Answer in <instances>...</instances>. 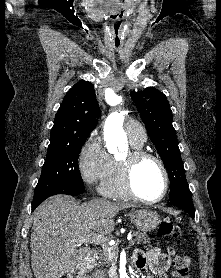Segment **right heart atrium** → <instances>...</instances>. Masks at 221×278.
<instances>
[{
	"label": "right heart atrium",
	"mask_w": 221,
	"mask_h": 278,
	"mask_svg": "<svg viewBox=\"0 0 221 278\" xmlns=\"http://www.w3.org/2000/svg\"><path fill=\"white\" fill-rule=\"evenodd\" d=\"M114 166V160L103 146L96 131L84 141L78 155V171L82 180L93 185L103 182Z\"/></svg>",
	"instance_id": "1"
}]
</instances>
